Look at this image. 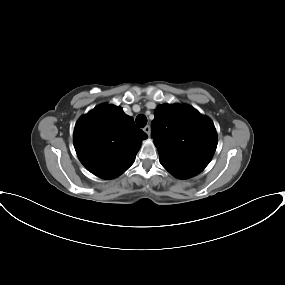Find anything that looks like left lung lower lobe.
<instances>
[{
  "mask_svg": "<svg viewBox=\"0 0 285 285\" xmlns=\"http://www.w3.org/2000/svg\"><path fill=\"white\" fill-rule=\"evenodd\" d=\"M161 164L168 172L179 179H187L199 173L190 168L174 166L164 162H161Z\"/></svg>",
  "mask_w": 285,
  "mask_h": 285,
  "instance_id": "left-lung-lower-lobe-1",
  "label": "left lung lower lobe"
}]
</instances>
